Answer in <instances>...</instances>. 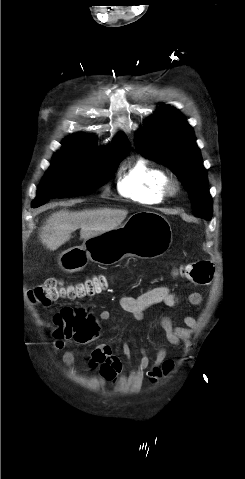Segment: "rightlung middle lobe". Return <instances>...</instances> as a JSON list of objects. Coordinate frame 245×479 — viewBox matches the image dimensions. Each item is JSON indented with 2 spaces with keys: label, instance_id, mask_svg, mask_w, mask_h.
Here are the masks:
<instances>
[{
  "label": "right lung middle lobe",
  "instance_id": "obj_1",
  "mask_svg": "<svg viewBox=\"0 0 245 479\" xmlns=\"http://www.w3.org/2000/svg\"><path fill=\"white\" fill-rule=\"evenodd\" d=\"M56 153L46 176L38 187L32 207L52 198L86 195L102 186L115 172L128 151L105 153L80 145L64 143Z\"/></svg>",
  "mask_w": 245,
  "mask_h": 479
}]
</instances>
